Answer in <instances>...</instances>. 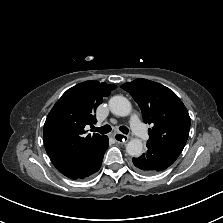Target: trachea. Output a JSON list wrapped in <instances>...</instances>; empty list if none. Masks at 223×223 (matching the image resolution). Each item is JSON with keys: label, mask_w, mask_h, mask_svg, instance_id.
Returning a JSON list of instances; mask_svg holds the SVG:
<instances>
[{"label": "trachea", "mask_w": 223, "mask_h": 223, "mask_svg": "<svg viewBox=\"0 0 223 223\" xmlns=\"http://www.w3.org/2000/svg\"><path fill=\"white\" fill-rule=\"evenodd\" d=\"M111 126L110 125H104V126H102V127H99V128H96V127H93L92 128V130L94 131V132H99V133H101V134H107V133H109L110 131H111ZM119 130L122 132V133H124V134H128V132H129V130H128V128L126 127V126H121L120 128H119Z\"/></svg>", "instance_id": "1"}]
</instances>
